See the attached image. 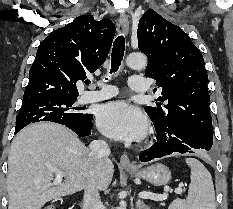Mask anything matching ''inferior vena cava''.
<instances>
[{
    "instance_id": "1",
    "label": "inferior vena cava",
    "mask_w": 233,
    "mask_h": 209,
    "mask_svg": "<svg viewBox=\"0 0 233 209\" xmlns=\"http://www.w3.org/2000/svg\"><path fill=\"white\" fill-rule=\"evenodd\" d=\"M89 149V157L95 161L108 159L110 154V148L103 140H94L89 145ZM82 209H103L99 192L92 182H89L85 188Z\"/></svg>"
}]
</instances>
